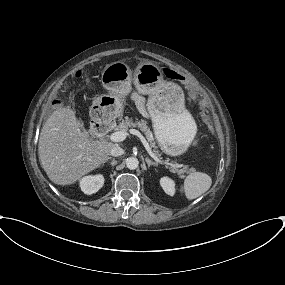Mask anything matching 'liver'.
<instances>
[{"label":"liver","instance_id":"obj_1","mask_svg":"<svg viewBox=\"0 0 285 285\" xmlns=\"http://www.w3.org/2000/svg\"><path fill=\"white\" fill-rule=\"evenodd\" d=\"M114 146L105 140L93 141L77 121L75 111L62 107L43 125L38 155L50 181L65 186L104 164Z\"/></svg>","mask_w":285,"mask_h":285}]
</instances>
